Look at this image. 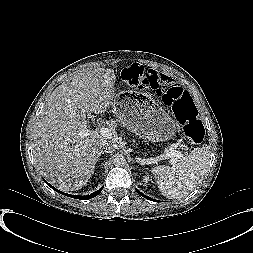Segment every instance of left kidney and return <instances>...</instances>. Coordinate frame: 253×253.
<instances>
[{"mask_svg":"<svg viewBox=\"0 0 253 253\" xmlns=\"http://www.w3.org/2000/svg\"><path fill=\"white\" fill-rule=\"evenodd\" d=\"M149 180H150L149 175H145L143 181H144L145 183H147V182H149Z\"/></svg>","mask_w":253,"mask_h":253,"instance_id":"obj_1","label":"left kidney"}]
</instances>
